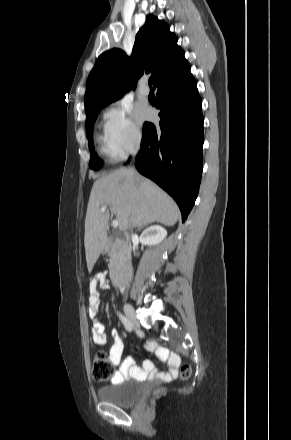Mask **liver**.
<instances>
[{
	"instance_id": "1",
	"label": "liver",
	"mask_w": 291,
	"mask_h": 440,
	"mask_svg": "<svg viewBox=\"0 0 291 440\" xmlns=\"http://www.w3.org/2000/svg\"><path fill=\"white\" fill-rule=\"evenodd\" d=\"M107 205L112 207L121 231L154 222L173 226L180 216L178 206L165 191L132 169H118L97 179L85 218L84 244L89 272L106 245L110 214L101 212L100 208Z\"/></svg>"
}]
</instances>
